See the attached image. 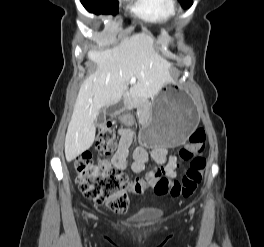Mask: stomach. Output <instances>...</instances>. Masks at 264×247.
<instances>
[{"label":"stomach","mask_w":264,"mask_h":247,"mask_svg":"<svg viewBox=\"0 0 264 247\" xmlns=\"http://www.w3.org/2000/svg\"><path fill=\"white\" fill-rule=\"evenodd\" d=\"M162 93L150 104L139 139L146 147H180L198 122L196 107L182 86H162Z\"/></svg>","instance_id":"0dacf381"}]
</instances>
